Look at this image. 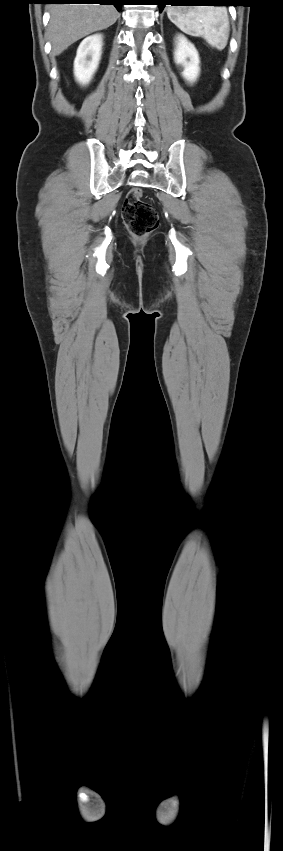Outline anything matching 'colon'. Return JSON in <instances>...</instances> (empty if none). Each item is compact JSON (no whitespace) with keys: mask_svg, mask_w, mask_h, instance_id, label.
I'll list each match as a JSON object with an SVG mask.
<instances>
[{"mask_svg":"<svg viewBox=\"0 0 283 851\" xmlns=\"http://www.w3.org/2000/svg\"><path fill=\"white\" fill-rule=\"evenodd\" d=\"M122 218L130 234L136 238L146 237L159 225L156 208L142 199V190L136 187L124 199Z\"/></svg>","mask_w":283,"mask_h":851,"instance_id":"5ec220e1","label":"colon"}]
</instances>
